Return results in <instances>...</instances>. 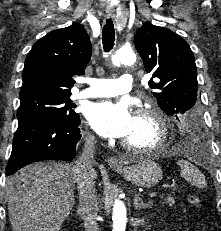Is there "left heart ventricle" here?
Here are the masks:
<instances>
[{"label":"left heart ventricle","mask_w":221,"mask_h":231,"mask_svg":"<svg viewBox=\"0 0 221 231\" xmlns=\"http://www.w3.org/2000/svg\"><path fill=\"white\" fill-rule=\"evenodd\" d=\"M124 139L136 145H150L157 139V129L150 119L134 117L133 128Z\"/></svg>","instance_id":"b2bd125f"}]
</instances>
